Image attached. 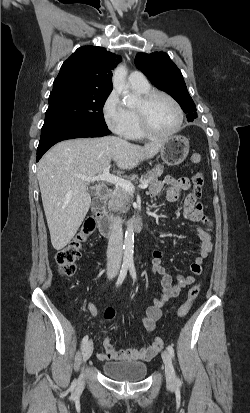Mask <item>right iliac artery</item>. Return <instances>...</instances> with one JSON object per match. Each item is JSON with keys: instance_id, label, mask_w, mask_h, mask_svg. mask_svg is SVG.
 I'll return each mask as SVG.
<instances>
[{"instance_id": "right-iliac-artery-1", "label": "right iliac artery", "mask_w": 250, "mask_h": 413, "mask_svg": "<svg viewBox=\"0 0 250 413\" xmlns=\"http://www.w3.org/2000/svg\"><path fill=\"white\" fill-rule=\"evenodd\" d=\"M128 267H129L128 264H123V265H122V268H121L119 277H118L117 282H116V287L120 286V285L123 283V281H124V279H125V277H126V275H127ZM87 341H88V335H86V336L82 339V346H84V345L87 343Z\"/></svg>"}]
</instances>
